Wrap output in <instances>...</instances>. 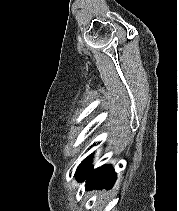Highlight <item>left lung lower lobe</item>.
<instances>
[{"label": "left lung lower lobe", "instance_id": "obj_1", "mask_svg": "<svg viewBox=\"0 0 179 211\" xmlns=\"http://www.w3.org/2000/svg\"><path fill=\"white\" fill-rule=\"evenodd\" d=\"M87 157L77 168L75 176L78 181H82L87 178V189L103 188L110 189L116 180V173L110 165H104L93 172L92 167L89 165L90 158Z\"/></svg>", "mask_w": 179, "mask_h": 211}]
</instances>
